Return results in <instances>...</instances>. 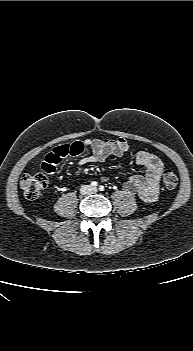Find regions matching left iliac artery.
<instances>
[{
	"label": "left iliac artery",
	"instance_id": "44dca946",
	"mask_svg": "<svg viewBox=\"0 0 193 351\" xmlns=\"http://www.w3.org/2000/svg\"><path fill=\"white\" fill-rule=\"evenodd\" d=\"M104 189H105V188H104V186H102V185L99 187V190H100V191H104Z\"/></svg>",
	"mask_w": 193,
	"mask_h": 351
}]
</instances>
